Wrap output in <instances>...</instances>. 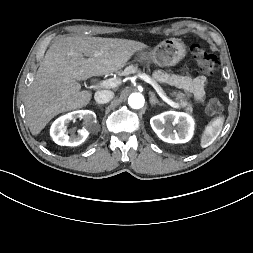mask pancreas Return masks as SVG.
<instances>
[{
  "mask_svg": "<svg viewBox=\"0 0 253 253\" xmlns=\"http://www.w3.org/2000/svg\"><path fill=\"white\" fill-rule=\"evenodd\" d=\"M118 75L120 76H128L130 74H141V70L138 69L137 65H130L126 67L123 71H118ZM173 96L176 97L177 104L180 108H185V110L189 113H192L193 111V105L192 103L188 100L186 95L182 92H174L172 93Z\"/></svg>",
  "mask_w": 253,
  "mask_h": 253,
  "instance_id": "cf45deb5",
  "label": "pancreas"
}]
</instances>
